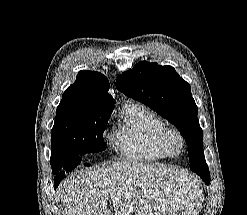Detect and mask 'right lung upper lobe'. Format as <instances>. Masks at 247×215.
<instances>
[{
	"mask_svg": "<svg viewBox=\"0 0 247 215\" xmlns=\"http://www.w3.org/2000/svg\"><path fill=\"white\" fill-rule=\"evenodd\" d=\"M108 79L99 72L80 71L74 84L65 94H73L81 101L105 109H113L115 100L108 93Z\"/></svg>",
	"mask_w": 247,
	"mask_h": 215,
	"instance_id": "obj_1",
	"label": "right lung upper lobe"
}]
</instances>
